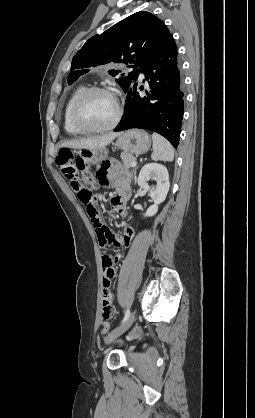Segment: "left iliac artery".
<instances>
[{
  "instance_id": "44dca946",
  "label": "left iliac artery",
  "mask_w": 255,
  "mask_h": 418,
  "mask_svg": "<svg viewBox=\"0 0 255 418\" xmlns=\"http://www.w3.org/2000/svg\"><path fill=\"white\" fill-rule=\"evenodd\" d=\"M129 315H130V310H129V309H127V310H126V313H125V316H124V318H123V320H122V322H121V323L125 322V321L128 319Z\"/></svg>"
}]
</instances>
